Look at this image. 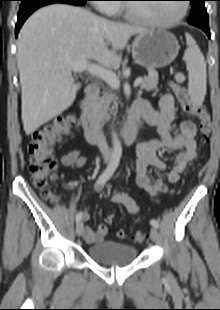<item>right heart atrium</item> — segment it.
Wrapping results in <instances>:
<instances>
[{
	"mask_svg": "<svg viewBox=\"0 0 220 310\" xmlns=\"http://www.w3.org/2000/svg\"><path fill=\"white\" fill-rule=\"evenodd\" d=\"M114 0H98L97 8L104 14L111 15L117 12L118 7Z\"/></svg>",
	"mask_w": 220,
	"mask_h": 310,
	"instance_id": "1",
	"label": "right heart atrium"
}]
</instances>
